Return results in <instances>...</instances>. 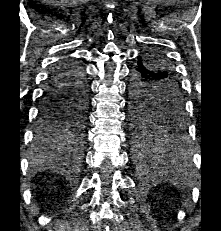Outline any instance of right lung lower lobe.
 <instances>
[{
  "label": "right lung lower lobe",
  "mask_w": 221,
  "mask_h": 231,
  "mask_svg": "<svg viewBox=\"0 0 221 231\" xmlns=\"http://www.w3.org/2000/svg\"><path fill=\"white\" fill-rule=\"evenodd\" d=\"M87 99V81L80 66L72 60H61L50 74L48 86L43 94L39 111V120L35 128V140L41 130V117L45 108L50 104H61L65 101ZM39 148H50L52 145L35 141Z\"/></svg>",
  "instance_id": "right-lung-lower-lobe-1"
}]
</instances>
